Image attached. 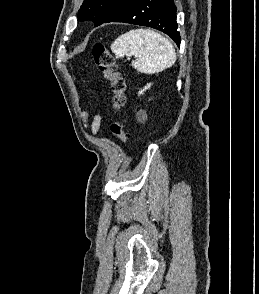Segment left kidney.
<instances>
[{
  "instance_id": "obj_1",
  "label": "left kidney",
  "mask_w": 259,
  "mask_h": 294,
  "mask_svg": "<svg viewBox=\"0 0 259 294\" xmlns=\"http://www.w3.org/2000/svg\"><path fill=\"white\" fill-rule=\"evenodd\" d=\"M149 87H150V85H148L147 87H145V89H147V88H149ZM140 93H142V91H141Z\"/></svg>"
}]
</instances>
